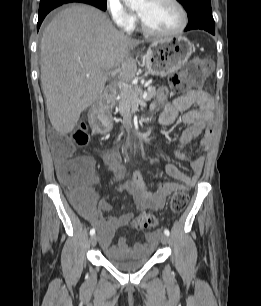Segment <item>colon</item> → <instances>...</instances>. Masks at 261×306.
Wrapping results in <instances>:
<instances>
[{"instance_id": "5ec220e1", "label": "colon", "mask_w": 261, "mask_h": 306, "mask_svg": "<svg viewBox=\"0 0 261 306\" xmlns=\"http://www.w3.org/2000/svg\"><path fill=\"white\" fill-rule=\"evenodd\" d=\"M211 65L202 59L191 60L178 74L172 77L174 88L182 94L183 98L191 93L199 91L202 87ZM96 117L106 125L108 123V112L106 108L95 111ZM89 140V128L86 123H81L72 135H56L52 139L54 154L58 160L67 162L59 168L58 174L64 184L74 190L77 200L88 195L86 183L88 181L89 168L82 157L73 158L72 154L77 146L86 144ZM189 196L184 191H177L172 195L170 201L171 210L179 214L187 206ZM133 225L140 230H150L156 227L157 219L149 213L137 216Z\"/></svg>"}]
</instances>
